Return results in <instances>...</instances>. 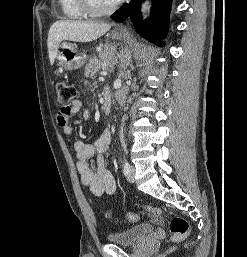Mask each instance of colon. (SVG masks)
Returning a JSON list of instances; mask_svg holds the SVG:
<instances>
[{
    "label": "colon",
    "instance_id": "colon-1",
    "mask_svg": "<svg viewBox=\"0 0 247 257\" xmlns=\"http://www.w3.org/2000/svg\"><path fill=\"white\" fill-rule=\"evenodd\" d=\"M56 92V104L60 108L61 111L68 110L70 104L74 101L77 95V91L74 86L65 83L58 82L55 85ZM143 210L152 215L155 218H160L163 214L162 210L153 206H143ZM107 217H110V214H106ZM128 222H135L138 219V215L136 213H131L126 217ZM170 232H171V241L172 242H181L183 241L190 232L189 222L180 216L172 217L170 221Z\"/></svg>",
    "mask_w": 247,
    "mask_h": 257
}]
</instances>
